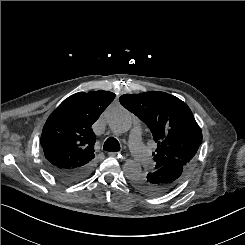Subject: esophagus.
<instances>
[{
    "mask_svg": "<svg viewBox=\"0 0 245 245\" xmlns=\"http://www.w3.org/2000/svg\"><path fill=\"white\" fill-rule=\"evenodd\" d=\"M108 155L113 156V157L117 156L118 158H121L122 160L125 159V157L118 152H109Z\"/></svg>",
    "mask_w": 245,
    "mask_h": 245,
    "instance_id": "obj_1",
    "label": "esophagus"
}]
</instances>
